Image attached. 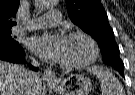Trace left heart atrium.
<instances>
[{
    "instance_id": "1",
    "label": "left heart atrium",
    "mask_w": 135,
    "mask_h": 95,
    "mask_svg": "<svg viewBox=\"0 0 135 95\" xmlns=\"http://www.w3.org/2000/svg\"><path fill=\"white\" fill-rule=\"evenodd\" d=\"M66 38L60 34H42L29 39L28 47L38 56L51 60L61 61L65 49Z\"/></svg>"
}]
</instances>
